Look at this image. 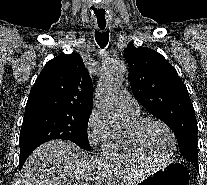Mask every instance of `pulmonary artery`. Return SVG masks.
Returning a JSON list of instances; mask_svg holds the SVG:
<instances>
[{"label":"pulmonary artery","mask_w":207,"mask_h":185,"mask_svg":"<svg viewBox=\"0 0 207 185\" xmlns=\"http://www.w3.org/2000/svg\"><path fill=\"white\" fill-rule=\"evenodd\" d=\"M120 105L124 110L130 114H137L139 112V105L135 98L126 92H121L119 94Z\"/></svg>","instance_id":"obj_1"}]
</instances>
